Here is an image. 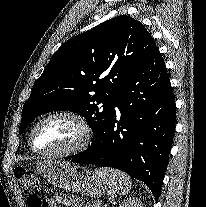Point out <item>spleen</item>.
<instances>
[{
  "mask_svg": "<svg viewBox=\"0 0 206 207\" xmlns=\"http://www.w3.org/2000/svg\"><path fill=\"white\" fill-rule=\"evenodd\" d=\"M95 173L107 183L112 192H116L120 196L126 195L131 189V179L124 172L109 168H97Z\"/></svg>",
  "mask_w": 206,
  "mask_h": 207,
  "instance_id": "3e777b00",
  "label": "spleen"
}]
</instances>
